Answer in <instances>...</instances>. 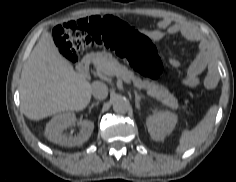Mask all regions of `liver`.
<instances>
[{"label": "liver", "instance_id": "6515ba94", "mask_svg": "<svg viewBox=\"0 0 236 182\" xmlns=\"http://www.w3.org/2000/svg\"><path fill=\"white\" fill-rule=\"evenodd\" d=\"M91 86L60 54L52 35L44 32L21 73V110L31 120L82 111L90 103Z\"/></svg>", "mask_w": 236, "mask_h": 182}]
</instances>
